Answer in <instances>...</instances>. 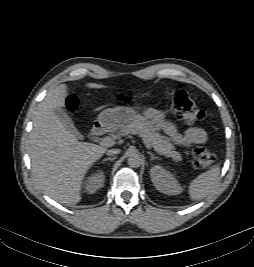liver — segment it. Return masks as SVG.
<instances>
[{"label":"liver","instance_id":"liver-1","mask_svg":"<svg viewBox=\"0 0 254 267\" xmlns=\"http://www.w3.org/2000/svg\"><path fill=\"white\" fill-rule=\"evenodd\" d=\"M86 86L105 87L97 83ZM67 96V85L60 84L39 104L33 117L28 153L32 174L40 188L61 204L75 205L81 200L87 170L103 156L106 148L80 142L64 127L54 110L65 105Z\"/></svg>","mask_w":254,"mask_h":267}]
</instances>
